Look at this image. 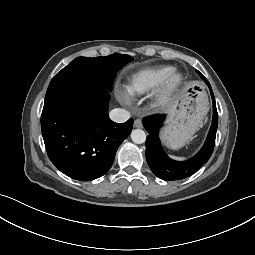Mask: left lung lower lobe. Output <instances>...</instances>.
I'll return each instance as SVG.
<instances>
[{"label":"left lung lower lobe","instance_id":"1","mask_svg":"<svg viewBox=\"0 0 255 255\" xmlns=\"http://www.w3.org/2000/svg\"><path fill=\"white\" fill-rule=\"evenodd\" d=\"M203 80L207 83L211 92L213 102V120L204 146L193 158L179 162L170 159L164 153L160 144L158 133L159 128L165 119V115H155L143 119V125L149 133L146 139V160L151 171L160 179L174 181L191 176L200 169L212 155L218 126V114L212 88L206 78Z\"/></svg>","mask_w":255,"mask_h":255}]
</instances>
